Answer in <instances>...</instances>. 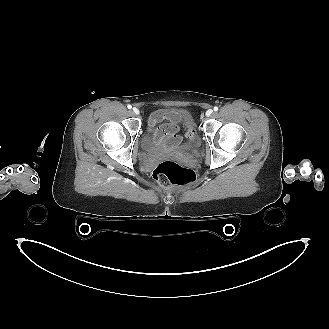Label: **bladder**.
I'll return each mask as SVG.
<instances>
[{"label": "bladder", "instance_id": "1", "mask_svg": "<svg viewBox=\"0 0 329 329\" xmlns=\"http://www.w3.org/2000/svg\"><path fill=\"white\" fill-rule=\"evenodd\" d=\"M152 117L156 118L155 120L157 121L147 127L141 139L143 150L151 155L158 154L164 150V144L158 141L156 137L158 125L175 123H183L191 127L194 125V119L191 113L183 108H161L156 110ZM198 146L199 138L195 132L188 138L186 144L178 145L175 149L182 155L192 156L196 153Z\"/></svg>", "mask_w": 329, "mask_h": 329}]
</instances>
